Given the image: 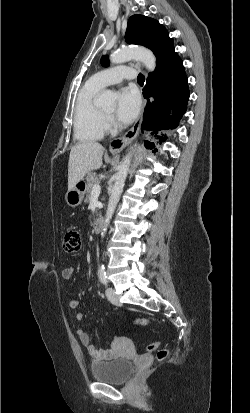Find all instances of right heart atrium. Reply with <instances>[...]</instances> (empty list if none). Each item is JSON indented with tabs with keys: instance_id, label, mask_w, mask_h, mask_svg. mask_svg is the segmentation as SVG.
<instances>
[{
	"instance_id": "d8ad5b80",
	"label": "right heart atrium",
	"mask_w": 250,
	"mask_h": 413,
	"mask_svg": "<svg viewBox=\"0 0 250 413\" xmlns=\"http://www.w3.org/2000/svg\"><path fill=\"white\" fill-rule=\"evenodd\" d=\"M105 123H106V130H108V131H113L117 127V123H116L114 117L111 116V115L106 116Z\"/></svg>"
}]
</instances>
